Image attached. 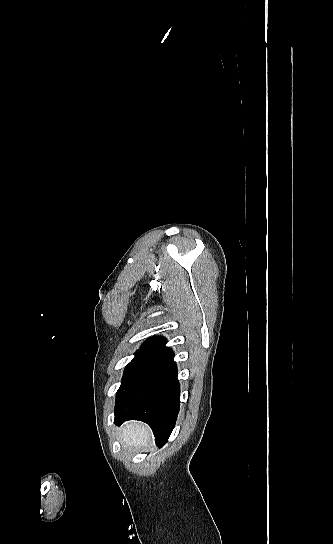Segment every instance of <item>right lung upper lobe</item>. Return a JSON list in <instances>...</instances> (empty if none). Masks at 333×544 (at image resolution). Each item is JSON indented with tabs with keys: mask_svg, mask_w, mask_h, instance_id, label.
<instances>
[{
	"mask_svg": "<svg viewBox=\"0 0 333 544\" xmlns=\"http://www.w3.org/2000/svg\"><path fill=\"white\" fill-rule=\"evenodd\" d=\"M166 344V339L162 336H157L147 340L142 346L141 349H154L158 346Z\"/></svg>",
	"mask_w": 333,
	"mask_h": 544,
	"instance_id": "obj_1",
	"label": "right lung upper lobe"
}]
</instances>
